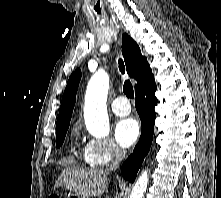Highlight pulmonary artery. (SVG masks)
<instances>
[{"mask_svg": "<svg viewBox=\"0 0 221 198\" xmlns=\"http://www.w3.org/2000/svg\"><path fill=\"white\" fill-rule=\"evenodd\" d=\"M111 109L118 116H127L131 112V106L128 99L124 96H119L113 100Z\"/></svg>", "mask_w": 221, "mask_h": 198, "instance_id": "e3ab8cb5", "label": "pulmonary artery"}]
</instances>
